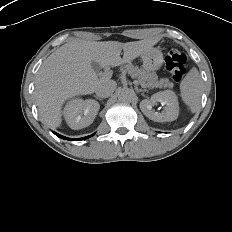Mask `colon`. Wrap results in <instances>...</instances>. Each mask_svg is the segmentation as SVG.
Wrapping results in <instances>:
<instances>
[{
    "label": "colon",
    "instance_id": "colon-1",
    "mask_svg": "<svg viewBox=\"0 0 232 232\" xmlns=\"http://www.w3.org/2000/svg\"><path fill=\"white\" fill-rule=\"evenodd\" d=\"M186 56L178 50L172 49L165 57V67L174 81H180L186 73Z\"/></svg>",
    "mask_w": 232,
    "mask_h": 232
}]
</instances>
